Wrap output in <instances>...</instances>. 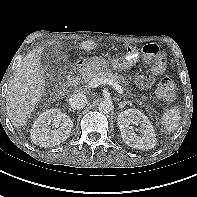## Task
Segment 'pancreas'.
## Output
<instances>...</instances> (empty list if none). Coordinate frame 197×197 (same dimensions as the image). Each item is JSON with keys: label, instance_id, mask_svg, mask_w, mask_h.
Returning <instances> with one entry per match:
<instances>
[{"label": "pancreas", "instance_id": "obj_1", "mask_svg": "<svg viewBox=\"0 0 197 197\" xmlns=\"http://www.w3.org/2000/svg\"><path fill=\"white\" fill-rule=\"evenodd\" d=\"M93 78H102V79H111L117 83H123L126 85L125 79L123 76L118 73H112L110 70H98V71H87L82 76V81L89 83ZM141 99L144 101L147 99L146 96H142Z\"/></svg>", "mask_w": 197, "mask_h": 197}]
</instances>
